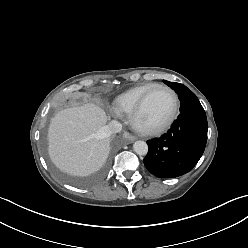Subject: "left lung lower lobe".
<instances>
[{
  "label": "left lung lower lobe",
  "instance_id": "obj_1",
  "mask_svg": "<svg viewBox=\"0 0 248 248\" xmlns=\"http://www.w3.org/2000/svg\"><path fill=\"white\" fill-rule=\"evenodd\" d=\"M207 129L202 105L191 98L166 134L147 141L145 167L159 178H174L189 172L204 152Z\"/></svg>",
  "mask_w": 248,
  "mask_h": 248
}]
</instances>
